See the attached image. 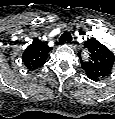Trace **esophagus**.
Listing matches in <instances>:
<instances>
[{
	"instance_id": "1",
	"label": "esophagus",
	"mask_w": 115,
	"mask_h": 119,
	"mask_svg": "<svg viewBox=\"0 0 115 119\" xmlns=\"http://www.w3.org/2000/svg\"><path fill=\"white\" fill-rule=\"evenodd\" d=\"M67 44H68L69 46H72L71 42H67Z\"/></svg>"
}]
</instances>
